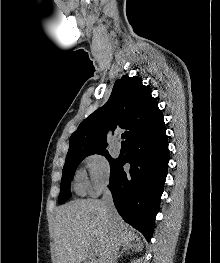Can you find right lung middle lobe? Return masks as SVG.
I'll use <instances>...</instances> for the list:
<instances>
[{"mask_svg":"<svg viewBox=\"0 0 220 263\" xmlns=\"http://www.w3.org/2000/svg\"><path fill=\"white\" fill-rule=\"evenodd\" d=\"M104 155L110 162V166L114 164L116 159H113L106 149L89 151V152H73L68 153L66 156L65 165L63 168V175L61 180V192L59 195V203L62 204L67 201L71 196L70 184L74 176L78 164L87 156L92 154Z\"/></svg>","mask_w":220,"mask_h":263,"instance_id":"right-lung-middle-lobe-1","label":"right lung middle lobe"}]
</instances>
